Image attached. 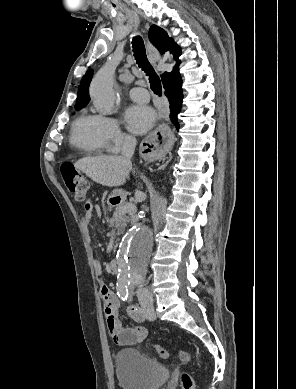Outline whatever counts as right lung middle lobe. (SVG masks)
Segmentation results:
<instances>
[{
    "instance_id": "right-lung-middle-lobe-1",
    "label": "right lung middle lobe",
    "mask_w": 296,
    "mask_h": 389,
    "mask_svg": "<svg viewBox=\"0 0 296 389\" xmlns=\"http://www.w3.org/2000/svg\"><path fill=\"white\" fill-rule=\"evenodd\" d=\"M80 108H82V107H78V108H76V109L78 110V109H80Z\"/></svg>"
}]
</instances>
